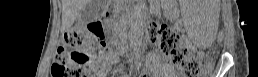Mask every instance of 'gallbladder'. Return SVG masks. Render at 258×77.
I'll return each mask as SVG.
<instances>
[{
  "label": "gallbladder",
  "instance_id": "gallbladder-1",
  "mask_svg": "<svg viewBox=\"0 0 258 77\" xmlns=\"http://www.w3.org/2000/svg\"><path fill=\"white\" fill-rule=\"evenodd\" d=\"M100 0H90L86 7L83 9L79 22L86 23L97 18L102 11L103 7Z\"/></svg>",
  "mask_w": 258,
  "mask_h": 77
}]
</instances>
